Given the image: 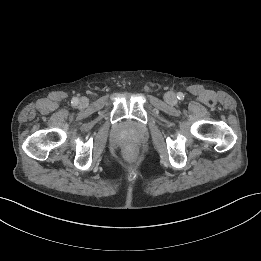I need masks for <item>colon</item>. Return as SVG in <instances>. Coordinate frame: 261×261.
<instances>
[{
	"label": "colon",
	"instance_id": "5ec220e1",
	"mask_svg": "<svg viewBox=\"0 0 261 261\" xmlns=\"http://www.w3.org/2000/svg\"><path fill=\"white\" fill-rule=\"evenodd\" d=\"M132 153H133V151H132V150H129V151H128V154H132Z\"/></svg>",
	"mask_w": 261,
	"mask_h": 261
}]
</instances>
